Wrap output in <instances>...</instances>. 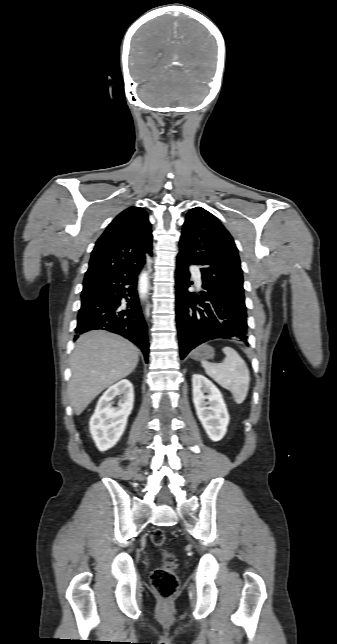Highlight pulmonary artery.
Segmentation results:
<instances>
[{
    "mask_svg": "<svg viewBox=\"0 0 337 644\" xmlns=\"http://www.w3.org/2000/svg\"><path fill=\"white\" fill-rule=\"evenodd\" d=\"M193 272H194V276H195V280H196L197 285H198V286H201V285H202V281H201L200 273H199V272H198V270H197V269H195V268L193 269Z\"/></svg>",
    "mask_w": 337,
    "mask_h": 644,
    "instance_id": "1",
    "label": "pulmonary artery"
}]
</instances>
